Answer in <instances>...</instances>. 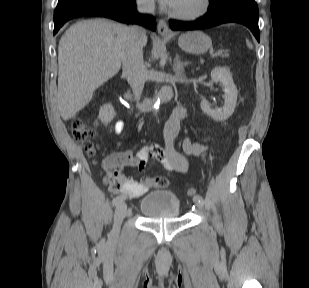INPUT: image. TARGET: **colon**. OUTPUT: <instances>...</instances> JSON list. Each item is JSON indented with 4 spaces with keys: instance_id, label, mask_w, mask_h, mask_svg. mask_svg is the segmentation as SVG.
Returning <instances> with one entry per match:
<instances>
[{
    "instance_id": "1",
    "label": "colon",
    "mask_w": 309,
    "mask_h": 288,
    "mask_svg": "<svg viewBox=\"0 0 309 288\" xmlns=\"http://www.w3.org/2000/svg\"><path fill=\"white\" fill-rule=\"evenodd\" d=\"M72 135L76 141L83 145L84 149L89 155L96 156L98 154L99 148L94 140L95 133L81 118H76L73 121ZM102 165L106 170V185L109 188H114L119 185L122 179L121 165H119L113 159L104 161ZM141 183L144 185L152 183L158 187L164 188L170 184V181L166 177H158L154 180L144 178ZM187 195L189 197H195L197 195V190L194 187H189L187 190Z\"/></svg>"
}]
</instances>
